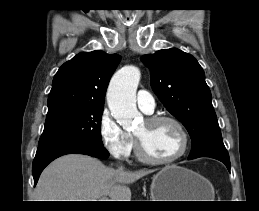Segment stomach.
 Returning a JSON list of instances; mask_svg holds the SVG:
<instances>
[{
  "label": "stomach",
  "instance_id": "stomach-1",
  "mask_svg": "<svg viewBox=\"0 0 259 211\" xmlns=\"http://www.w3.org/2000/svg\"><path fill=\"white\" fill-rule=\"evenodd\" d=\"M152 201H210L212 185L189 169L171 165L162 168L152 178Z\"/></svg>",
  "mask_w": 259,
  "mask_h": 211
}]
</instances>
